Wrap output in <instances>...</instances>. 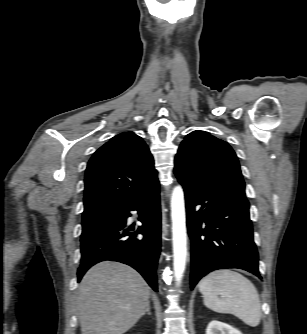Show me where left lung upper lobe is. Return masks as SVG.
Segmentation results:
<instances>
[{
  "instance_id": "left-lung-upper-lobe-1",
  "label": "left lung upper lobe",
  "mask_w": 307,
  "mask_h": 334,
  "mask_svg": "<svg viewBox=\"0 0 307 334\" xmlns=\"http://www.w3.org/2000/svg\"><path fill=\"white\" fill-rule=\"evenodd\" d=\"M176 176L197 184L245 197V183L233 149L205 131H193L181 143L175 158Z\"/></svg>"
}]
</instances>
